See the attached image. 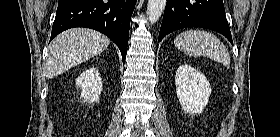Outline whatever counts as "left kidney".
Wrapping results in <instances>:
<instances>
[{"instance_id": "obj_1", "label": "left kidney", "mask_w": 280, "mask_h": 137, "mask_svg": "<svg viewBox=\"0 0 280 137\" xmlns=\"http://www.w3.org/2000/svg\"><path fill=\"white\" fill-rule=\"evenodd\" d=\"M175 85L184 112L192 115L201 113L211 94L205 75L190 65H181L176 71Z\"/></svg>"}]
</instances>
